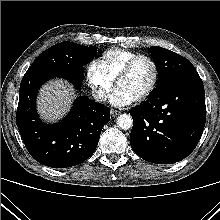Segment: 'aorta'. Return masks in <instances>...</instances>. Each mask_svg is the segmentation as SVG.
<instances>
[{
  "label": "aorta",
  "mask_w": 220,
  "mask_h": 220,
  "mask_svg": "<svg viewBox=\"0 0 220 220\" xmlns=\"http://www.w3.org/2000/svg\"><path fill=\"white\" fill-rule=\"evenodd\" d=\"M116 124L123 130H129L133 125V119L129 114H121L118 116Z\"/></svg>",
  "instance_id": "762f6f07"
}]
</instances>
